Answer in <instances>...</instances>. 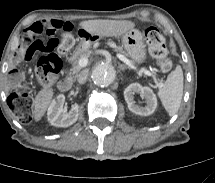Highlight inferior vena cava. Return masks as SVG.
<instances>
[{
  "instance_id": "inferior-vena-cava-1",
  "label": "inferior vena cava",
  "mask_w": 215,
  "mask_h": 183,
  "mask_svg": "<svg viewBox=\"0 0 215 183\" xmlns=\"http://www.w3.org/2000/svg\"><path fill=\"white\" fill-rule=\"evenodd\" d=\"M87 78H88V72L84 70L78 75L77 80L80 84H84L87 81Z\"/></svg>"
}]
</instances>
